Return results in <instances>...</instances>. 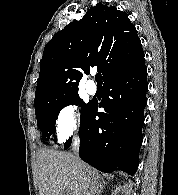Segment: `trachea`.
Segmentation results:
<instances>
[{"mask_svg":"<svg viewBox=\"0 0 178 195\" xmlns=\"http://www.w3.org/2000/svg\"><path fill=\"white\" fill-rule=\"evenodd\" d=\"M95 79L97 82H102L101 74L100 73L96 74Z\"/></svg>","mask_w":178,"mask_h":195,"instance_id":"3493384b","label":"trachea"}]
</instances>
